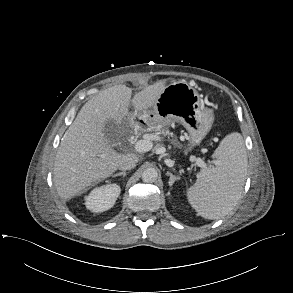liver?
I'll use <instances>...</instances> for the list:
<instances>
[{
    "label": "liver",
    "instance_id": "1",
    "mask_svg": "<svg viewBox=\"0 0 293 293\" xmlns=\"http://www.w3.org/2000/svg\"><path fill=\"white\" fill-rule=\"evenodd\" d=\"M165 83L149 85L133 98L131 88L115 85L84 104L62 137L55 158L53 181L61 199L70 200L92 184L111 176L127 155L138 161L135 154H120L111 147L104 132L105 123L113 120L121 126L130 103L134 115L153 107Z\"/></svg>",
    "mask_w": 293,
    "mask_h": 293
}]
</instances>
